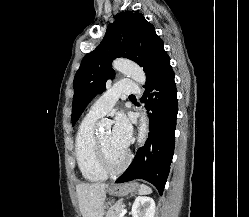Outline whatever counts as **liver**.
I'll return each instance as SVG.
<instances>
[{
  "label": "liver",
  "instance_id": "obj_1",
  "mask_svg": "<svg viewBox=\"0 0 249 217\" xmlns=\"http://www.w3.org/2000/svg\"><path fill=\"white\" fill-rule=\"evenodd\" d=\"M107 184H79L76 186L79 208L83 217H103Z\"/></svg>",
  "mask_w": 249,
  "mask_h": 217
}]
</instances>
